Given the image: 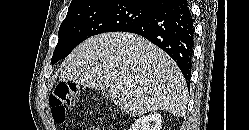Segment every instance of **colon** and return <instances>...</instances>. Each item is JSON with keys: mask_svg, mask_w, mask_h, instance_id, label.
<instances>
[{"mask_svg": "<svg viewBox=\"0 0 249 130\" xmlns=\"http://www.w3.org/2000/svg\"><path fill=\"white\" fill-rule=\"evenodd\" d=\"M80 99V90L73 83L61 82L56 85L49 96V105L54 121L57 124H64L66 111L75 106Z\"/></svg>", "mask_w": 249, "mask_h": 130, "instance_id": "colon-1", "label": "colon"}]
</instances>
